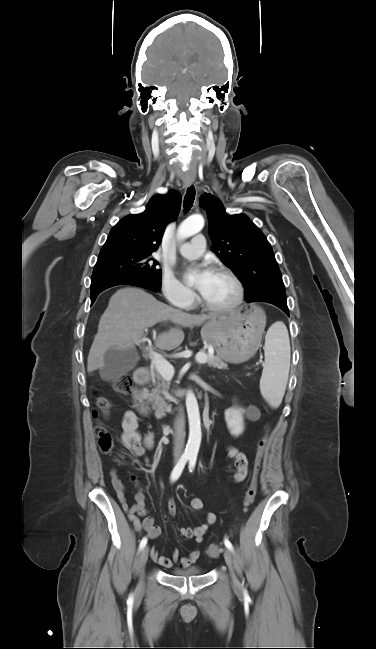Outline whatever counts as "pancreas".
<instances>
[{
	"label": "pancreas",
	"mask_w": 376,
	"mask_h": 649,
	"mask_svg": "<svg viewBox=\"0 0 376 649\" xmlns=\"http://www.w3.org/2000/svg\"><path fill=\"white\" fill-rule=\"evenodd\" d=\"M207 364L210 367H216L218 369L228 368V365L218 356L207 355ZM150 375L152 382L155 384V388L151 392L145 393L144 399L146 400V404H150L153 410L164 411L166 402L162 394H165V389L169 387V383L159 374L153 364L150 366Z\"/></svg>",
	"instance_id": "pancreas-1"
}]
</instances>
